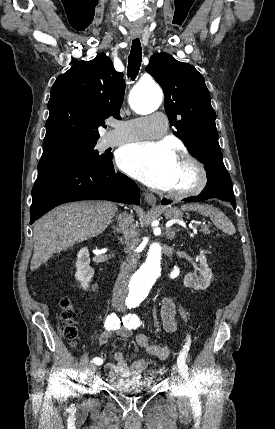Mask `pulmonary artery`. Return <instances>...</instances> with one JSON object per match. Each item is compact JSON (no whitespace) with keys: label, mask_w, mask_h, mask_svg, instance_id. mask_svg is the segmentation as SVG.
<instances>
[{"label":"pulmonary artery","mask_w":275,"mask_h":429,"mask_svg":"<svg viewBox=\"0 0 275 429\" xmlns=\"http://www.w3.org/2000/svg\"><path fill=\"white\" fill-rule=\"evenodd\" d=\"M166 129L167 120L162 113L120 121L114 124V130L106 136L105 144L113 146L138 139L159 138L165 134Z\"/></svg>","instance_id":"pulmonary-artery-1"}]
</instances>
